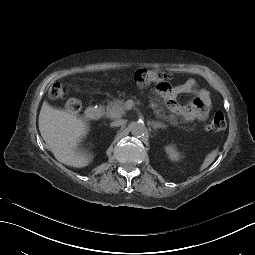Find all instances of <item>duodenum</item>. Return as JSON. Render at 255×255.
Here are the masks:
<instances>
[{
	"label": "duodenum",
	"instance_id": "1",
	"mask_svg": "<svg viewBox=\"0 0 255 255\" xmlns=\"http://www.w3.org/2000/svg\"><path fill=\"white\" fill-rule=\"evenodd\" d=\"M103 110L100 107L90 106L85 111V116L89 120H98L101 118Z\"/></svg>",
	"mask_w": 255,
	"mask_h": 255
}]
</instances>
